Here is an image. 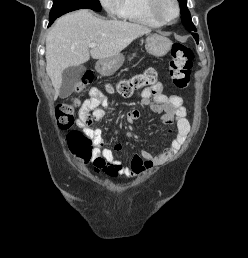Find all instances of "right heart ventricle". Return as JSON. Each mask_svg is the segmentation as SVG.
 I'll return each mask as SVG.
<instances>
[{"mask_svg":"<svg viewBox=\"0 0 248 258\" xmlns=\"http://www.w3.org/2000/svg\"><path fill=\"white\" fill-rule=\"evenodd\" d=\"M120 17L124 20L149 27L161 26L150 15L148 10V0H123V7Z\"/></svg>","mask_w":248,"mask_h":258,"instance_id":"right-heart-ventricle-1","label":"right heart ventricle"}]
</instances>
